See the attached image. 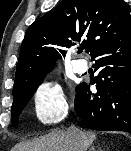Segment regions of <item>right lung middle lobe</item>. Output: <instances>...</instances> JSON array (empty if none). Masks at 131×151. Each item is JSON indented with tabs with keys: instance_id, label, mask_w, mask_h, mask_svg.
I'll use <instances>...</instances> for the list:
<instances>
[{
	"instance_id": "1",
	"label": "right lung middle lobe",
	"mask_w": 131,
	"mask_h": 151,
	"mask_svg": "<svg viewBox=\"0 0 131 151\" xmlns=\"http://www.w3.org/2000/svg\"><path fill=\"white\" fill-rule=\"evenodd\" d=\"M44 74L45 73L38 75L28 84L13 90V104L11 110L12 125L17 124L19 115L21 114L23 108L26 106L30 98L33 96L38 86L42 83L43 81L42 77Z\"/></svg>"
}]
</instances>
